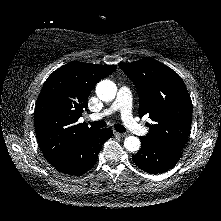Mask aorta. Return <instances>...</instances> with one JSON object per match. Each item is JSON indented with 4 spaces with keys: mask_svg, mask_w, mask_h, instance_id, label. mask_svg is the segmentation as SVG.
Returning a JSON list of instances; mask_svg holds the SVG:
<instances>
[{
    "mask_svg": "<svg viewBox=\"0 0 221 221\" xmlns=\"http://www.w3.org/2000/svg\"><path fill=\"white\" fill-rule=\"evenodd\" d=\"M117 92V87L114 82L110 80H102L96 86V94L102 101H112ZM124 147L130 151L135 152L140 148V140L135 136H128L124 140Z\"/></svg>",
    "mask_w": 221,
    "mask_h": 221,
    "instance_id": "1",
    "label": "aorta"
}]
</instances>
